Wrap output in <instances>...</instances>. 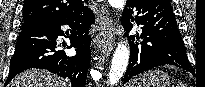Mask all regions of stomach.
I'll return each mask as SVG.
<instances>
[{"label":"stomach","mask_w":205,"mask_h":87,"mask_svg":"<svg viewBox=\"0 0 205 87\" xmlns=\"http://www.w3.org/2000/svg\"><path fill=\"white\" fill-rule=\"evenodd\" d=\"M171 80L167 73L161 70H149L140 74L129 87H170Z\"/></svg>","instance_id":"1"}]
</instances>
